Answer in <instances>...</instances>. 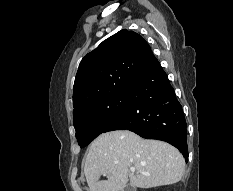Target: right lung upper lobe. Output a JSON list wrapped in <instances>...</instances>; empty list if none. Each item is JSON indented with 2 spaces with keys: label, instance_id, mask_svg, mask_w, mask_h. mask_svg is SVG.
<instances>
[{
  "label": "right lung upper lobe",
  "instance_id": "1",
  "mask_svg": "<svg viewBox=\"0 0 233 191\" xmlns=\"http://www.w3.org/2000/svg\"><path fill=\"white\" fill-rule=\"evenodd\" d=\"M153 56L137 33L119 31L81 61L74 83L73 115L111 97L127 94Z\"/></svg>",
  "mask_w": 233,
  "mask_h": 191
}]
</instances>
